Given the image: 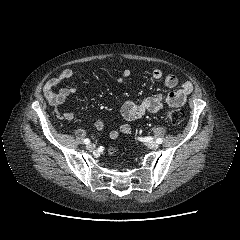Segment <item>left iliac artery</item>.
Here are the masks:
<instances>
[{"instance_id": "obj_1", "label": "left iliac artery", "mask_w": 240, "mask_h": 240, "mask_svg": "<svg viewBox=\"0 0 240 240\" xmlns=\"http://www.w3.org/2000/svg\"><path fill=\"white\" fill-rule=\"evenodd\" d=\"M156 142H157L158 144H161V143L163 142V139H162V138H157V139H156Z\"/></svg>"}]
</instances>
